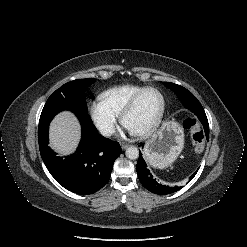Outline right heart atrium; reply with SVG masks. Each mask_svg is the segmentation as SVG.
<instances>
[{"mask_svg":"<svg viewBox=\"0 0 247 247\" xmlns=\"http://www.w3.org/2000/svg\"><path fill=\"white\" fill-rule=\"evenodd\" d=\"M89 112L93 123L103 136L109 137L115 132L118 117L101 101L91 102Z\"/></svg>","mask_w":247,"mask_h":247,"instance_id":"right-heart-atrium-1","label":"right heart atrium"}]
</instances>
